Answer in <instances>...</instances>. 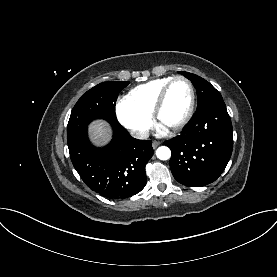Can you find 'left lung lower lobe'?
<instances>
[{
  "instance_id": "0a47b994",
  "label": "left lung lower lobe",
  "mask_w": 277,
  "mask_h": 277,
  "mask_svg": "<svg viewBox=\"0 0 277 277\" xmlns=\"http://www.w3.org/2000/svg\"><path fill=\"white\" fill-rule=\"evenodd\" d=\"M233 130L223 98L197 109L181 134L164 144L171 149L174 178L189 187L214 182L224 171L233 149Z\"/></svg>"
}]
</instances>
